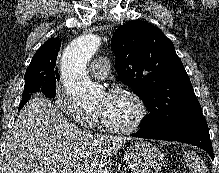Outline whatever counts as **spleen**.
Wrapping results in <instances>:
<instances>
[{"label":"spleen","mask_w":219,"mask_h":173,"mask_svg":"<svg viewBox=\"0 0 219 173\" xmlns=\"http://www.w3.org/2000/svg\"><path fill=\"white\" fill-rule=\"evenodd\" d=\"M186 162L194 173H205L206 169L198 163L196 155L192 153L185 154Z\"/></svg>","instance_id":"1"}]
</instances>
